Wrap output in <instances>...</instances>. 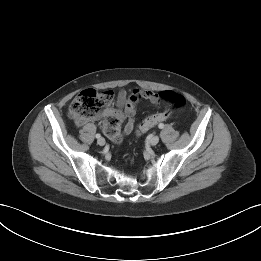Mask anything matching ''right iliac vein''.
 Masks as SVG:
<instances>
[{"instance_id": "1", "label": "right iliac vein", "mask_w": 261, "mask_h": 261, "mask_svg": "<svg viewBox=\"0 0 261 261\" xmlns=\"http://www.w3.org/2000/svg\"><path fill=\"white\" fill-rule=\"evenodd\" d=\"M97 143L100 145V146H103V145H105V139L104 138H99L98 140H97Z\"/></svg>"}]
</instances>
